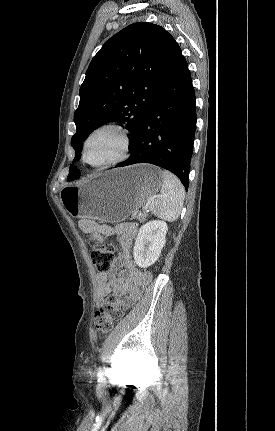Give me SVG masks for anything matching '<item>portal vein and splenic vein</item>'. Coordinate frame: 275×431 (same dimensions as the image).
I'll list each match as a JSON object with an SVG mask.
<instances>
[{
  "label": "portal vein and splenic vein",
  "instance_id": "obj_1",
  "mask_svg": "<svg viewBox=\"0 0 275 431\" xmlns=\"http://www.w3.org/2000/svg\"><path fill=\"white\" fill-rule=\"evenodd\" d=\"M158 197V195H153L149 198L147 205L144 206V210L146 211L148 209V204H150L151 202H153L156 198Z\"/></svg>",
  "mask_w": 275,
  "mask_h": 431
}]
</instances>
